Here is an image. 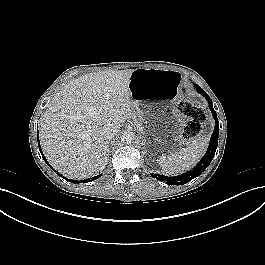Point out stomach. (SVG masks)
<instances>
[{
	"mask_svg": "<svg viewBox=\"0 0 265 265\" xmlns=\"http://www.w3.org/2000/svg\"><path fill=\"white\" fill-rule=\"evenodd\" d=\"M181 75L172 70L140 68L133 71L129 91L137 110L139 147L146 161L161 165L178 148L181 124L174 104Z\"/></svg>",
	"mask_w": 265,
	"mask_h": 265,
	"instance_id": "0dacf381",
	"label": "stomach"
}]
</instances>
